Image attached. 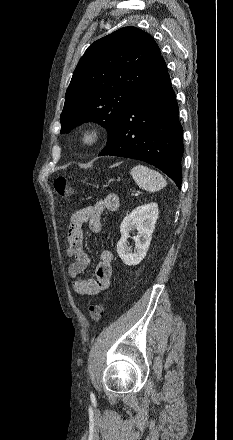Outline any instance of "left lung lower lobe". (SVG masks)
Instances as JSON below:
<instances>
[{
    "label": "left lung lower lobe",
    "mask_w": 233,
    "mask_h": 440,
    "mask_svg": "<svg viewBox=\"0 0 233 440\" xmlns=\"http://www.w3.org/2000/svg\"><path fill=\"white\" fill-rule=\"evenodd\" d=\"M166 63L161 56L124 112L119 129L99 156L145 161L181 187L183 128Z\"/></svg>",
    "instance_id": "1"
}]
</instances>
